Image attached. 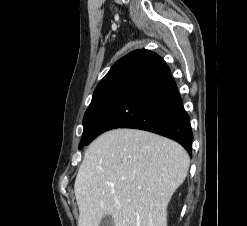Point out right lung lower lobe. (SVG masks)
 Returning <instances> with one entry per match:
<instances>
[{
    "mask_svg": "<svg viewBox=\"0 0 247 226\" xmlns=\"http://www.w3.org/2000/svg\"><path fill=\"white\" fill-rule=\"evenodd\" d=\"M114 128L157 133L177 141L191 155L190 118L169 67L157 54L145 49L129 54L85 145Z\"/></svg>",
    "mask_w": 247,
    "mask_h": 226,
    "instance_id": "right-lung-lower-lobe-1",
    "label": "right lung lower lobe"
}]
</instances>
